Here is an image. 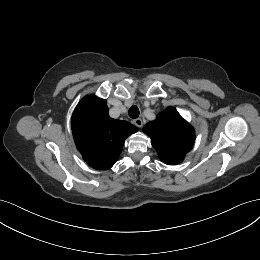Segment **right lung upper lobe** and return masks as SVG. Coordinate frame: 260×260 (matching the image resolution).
Returning a JSON list of instances; mask_svg holds the SVG:
<instances>
[{
  "label": "right lung upper lobe",
  "mask_w": 260,
  "mask_h": 260,
  "mask_svg": "<svg viewBox=\"0 0 260 260\" xmlns=\"http://www.w3.org/2000/svg\"><path fill=\"white\" fill-rule=\"evenodd\" d=\"M72 133L84 161L94 169H110L120 155L125 139L137 132L129 122L109 116L106 100L83 98L72 115Z\"/></svg>",
  "instance_id": "right-lung-upper-lobe-1"
}]
</instances>
